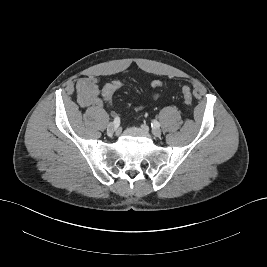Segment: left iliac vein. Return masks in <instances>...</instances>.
Segmentation results:
<instances>
[{"label":"left iliac vein","instance_id":"obj_1","mask_svg":"<svg viewBox=\"0 0 267 267\" xmlns=\"http://www.w3.org/2000/svg\"><path fill=\"white\" fill-rule=\"evenodd\" d=\"M142 129L143 130H147V126L146 125H142ZM152 134L155 136V137H160L161 136V130L159 128H153L152 129Z\"/></svg>","mask_w":267,"mask_h":267}]
</instances>
